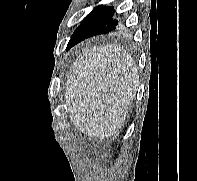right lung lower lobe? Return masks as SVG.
I'll list each match as a JSON object with an SVG mask.
<instances>
[{
	"label": "right lung lower lobe",
	"instance_id": "98d812e1",
	"mask_svg": "<svg viewBox=\"0 0 197 181\" xmlns=\"http://www.w3.org/2000/svg\"><path fill=\"white\" fill-rule=\"evenodd\" d=\"M114 7L99 5L94 8L81 22L80 26L75 30L67 47L71 48L77 43L90 38L92 36L105 34L115 30L118 21L113 20Z\"/></svg>",
	"mask_w": 197,
	"mask_h": 181
}]
</instances>
